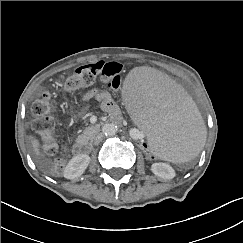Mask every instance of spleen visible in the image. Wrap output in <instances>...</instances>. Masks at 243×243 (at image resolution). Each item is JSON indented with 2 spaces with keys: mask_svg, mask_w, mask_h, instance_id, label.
Returning a JSON list of instances; mask_svg holds the SVG:
<instances>
[{
  "mask_svg": "<svg viewBox=\"0 0 243 243\" xmlns=\"http://www.w3.org/2000/svg\"><path fill=\"white\" fill-rule=\"evenodd\" d=\"M121 91L136 124L164 159L179 164L199 154L206 128L181 87L154 68L140 67L127 75Z\"/></svg>",
  "mask_w": 243,
  "mask_h": 243,
  "instance_id": "spleen-1",
  "label": "spleen"
}]
</instances>
